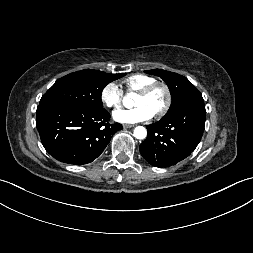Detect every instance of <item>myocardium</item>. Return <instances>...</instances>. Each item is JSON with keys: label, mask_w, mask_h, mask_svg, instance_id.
Wrapping results in <instances>:
<instances>
[{"label": "myocardium", "mask_w": 253, "mask_h": 253, "mask_svg": "<svg viewBox=\"0 0 253 253\" xmlns=\"http://www.w3.org/2000/svg\"><path fill=\"white\" fill-rule=\"evenodd\" d=\"M157 89H162L164 91L165 102L163 106L157 112L154 113L153 116L155 118H161L169 111L172 104V93L169 86L165 82L155 81L154 83L137 91V93L141 96L148 97Z\"/></svg>", "instance_id": "f54148a6"}]
</instances>
